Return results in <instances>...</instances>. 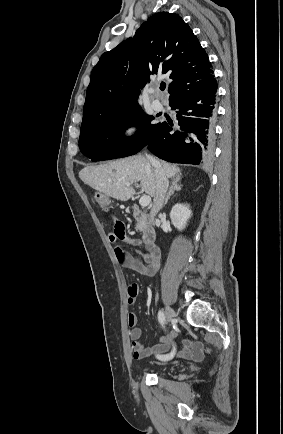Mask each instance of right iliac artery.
Returning a JSON list of instances; mask_svg holds the SVG:
<instances>
[{
    "instance_id": "right-iliac-artery-1",
    "label": "right iliac artery",
    "mask_w": 283,
    "mask_h": 434,
    "mask_svg": "<svg viewBox=\"0 0 283 434\" xmlns=\"http://www.w3.org/2000/svg\"><path fill=\"white\" fill-rule=\"evenodd\" d=\"M158 320H159L160 324L162 326H164V324H165V314H164L163 311H159L158 312ZM173 356H174V353H171L170 355L160 356V357H158V359L162 360V361H167V360L172 359Z\"/></svg>"
}]
</instances>
